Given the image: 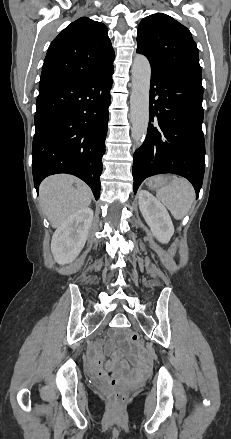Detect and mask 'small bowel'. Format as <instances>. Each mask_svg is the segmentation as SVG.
I'll return each instance as SVG.
<instances>
[{
	"label": "small bowel",
	"mask_w": 231,
	"mask_h": 439,
	"mask_svg": "<svg viewBox=\"0 0 231 439\" xmlns=\"http://www.w3.org/2000/svg\"><path fill=\"white\" fill-rule=\"evenodd\" d=\"M118 358H119V355L117 354L115 356V358H114V362H116ZM92 359L94 361V368H95V371H96L97 375L98 376H104L105 375V371L102 368V366H103V356H102V354L100 352H96V353L93 354ZM138 367H139V369L142 372H147L148 369H149V366L145 362L140 363ZM108 372L110 374H114L115 373V371L113 369H109Z\"/></svg>",
	"instance_id": "c3829d8e"
}]
</instances>
